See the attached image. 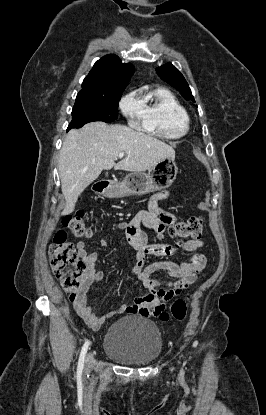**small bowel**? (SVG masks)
Returning a JSON list of instances; mask_svg holds the SVG:
<instances>
[{
  "label": "small bowel",
  "instance_id": "obj_1",
  "mask_svg": "<svg viewBox=\"0 0 266 415\" xmlns=\"http://www.w3.org/2000/svg\"><path fill=\"white\" fill-rule=\"evenodd\" d=\"M169 196L168 191L154 194L148 203L147 210L139 211L130 222H121L115 228L124 230L129 244L136 251L135 266L132 275L142 282L149 293L143 297L135 299L133 304L122 305L116 311H111L105 315L98 316L87 303V294L90 288L103 280V273L96 270L95 264L98 260L97 253H89L84 242L79 241L76 245L79 256L86 263V273L81 279L79 294L72 300V306L79 317L93 330H98L102 324L117 314H140L148 316V308L164 309L165 303L178 296L185 288L193 284L198 275L203 272L206 266V257L203 254H193L188 261L159 262L146 264L147 256L166 257L177 251L194 252L203 246V242L198 239L179 241L175 244H150L145 233L140 226L153 229L158 233H163L175 222V216L159 206V202ZM100 246L107 248V239H101ZM157 271H165L170 277V281L165 285L156 279L151 278V274Z\"/></svg>",
  "mask_w": 266,
  "mask_h": 415
}]
</instances>
